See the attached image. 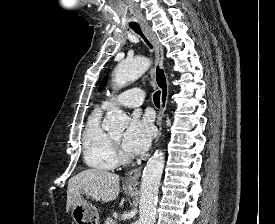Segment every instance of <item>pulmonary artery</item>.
<instances>
[{
  "mask_svg": "<svg viewBox=\"0 0 275 224\" xmlns=\"http://www.w3.org/2000/svg\"><path fill=\"white\" fill-rule=\"evenodd\" d=\"M145 93L141 88H132L124 91L115 101V103L125 107H140L144 104ZM112 101L106 100L102 107L108 109Z\"/></svg>",
  "mask_w": 275,
  "mask_h": 224,
  "instance_id": "1",
  "label": "pulmonary artery"
}]
</instances>
